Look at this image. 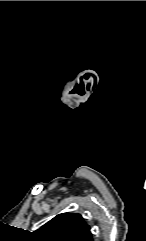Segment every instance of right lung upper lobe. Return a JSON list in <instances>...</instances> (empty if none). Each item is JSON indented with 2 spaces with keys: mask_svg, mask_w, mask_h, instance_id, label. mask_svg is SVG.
Returning a JSON list of instances; mask_svg holds the SVG:
<instances>
[{
  "mask_svg": "<svg viewBox=\"0 0 146 241\" xmlns=\"http://www.w3.org/2000/svg\"><path fill=\"white\" fill-rule=\"evenodd\" d=\"M34 241H94L80 214L62 213L32 233Z\"/></svg>",
  "mask_w": 146,
  "mask_h": 241,
  "instance_id": "right-lung-upper-lobe-1",
  "label": "right lung upper lobe"
}]
</instances>
